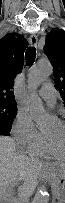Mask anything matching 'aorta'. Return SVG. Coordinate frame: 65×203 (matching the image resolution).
Segmentation results:
<instances>
[{"label": "aorta", "mask_w": 65, "mask_h": 203, "mask_svg": "<svg viewBox=\"0 0 65 203\" xmlns=\"http://www.w3.org/2000/svg\"><path fill=\"white\" fill-rule=\"evenodd\" d=\"M53 72L48 60L39 61L30 71L29 81L32 86L44 82ZM30 115L39 129H44L49 124L52 116L45 109L42 100L34 93L28 97ZM32 203H49V193L45 186H41Z\"/></svg>", "instance_id": "obj_1"}]
</instances>
